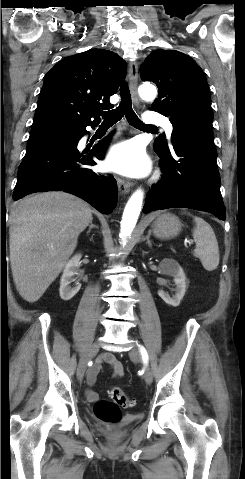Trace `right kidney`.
Listing matches in <instances>:
<instances>
[{
  "mask_svg": "<svg viewBox=\"0 0 245 479\" xmlns=\"http://www.w3.org/2000/svg\"><path fill=\"white\" fill-rule=\"evenodd\" d=\"M81 254L73 256L66 264L60 280V297L64 301L70 300L80 290L81 284L76 283L74 287L69 284L74 280L73 276L80 267Z\"/></svg>",
  "mask_w": 245,
  "mask_h": 479,
  "instance_id": "1",
  "label": "right kidney"
}]
</instances>
